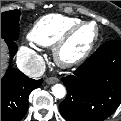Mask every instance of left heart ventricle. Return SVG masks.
Segmentation results:
<instances>
[{
	"label": "left heart ventricle",
	"mask_w": 121,
	"mask_h": 121,
	"mask_svg": "<svg viewBox=\"0 0 121 121\" xmlns=\"http://www.w3.org/2000/svg\"><path fill=\"white\" fill-rule=\"evenodd\" d=\"M95 36V29L92 26H86L77 31L63 50L66 58L82 53L91 43Z\"/></svg>",
	"instance_id": "obj_1"
}]
</instances>
